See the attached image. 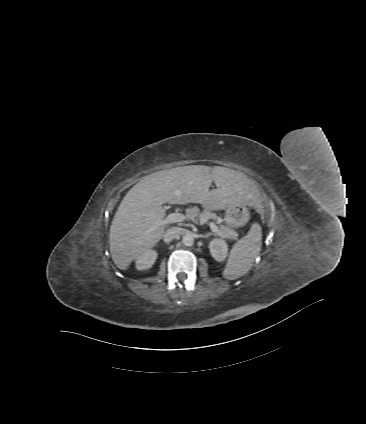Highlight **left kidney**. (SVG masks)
I'll return each mask as SVG.
<instances>
[{
    "label": "left kidney",
    "mask_w": 366,
    "mask_h": 424,
    "mask_svg": "<svg viewBox=\"0 0 366 424\" xmlns=\"http://www.w3.org/2000/svg\"><path fill=\"white\" fill-rule=\"evenodd\" d=\"M209 248L212 257L218 262H223L227 257L228 245L223 239H213L209 243Z\"/></svg>",
    "instance_id": "1"
}]
</instances>
